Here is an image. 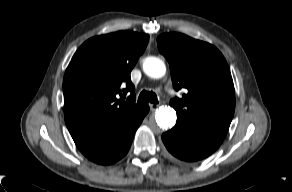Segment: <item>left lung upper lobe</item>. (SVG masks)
<instances>
[{
    "instance_id": "5c2ea615",
    "label": "left lung upper lobe",
    "mask_w": 292,
    "mask_h": 192,
    "mask_svg": "<svg viewBox=\"0 0 292 192\" xmlns=\"http://www.w3.org/2000/svg\"><path fill=\"white\" fill-rule=\"evenodd\" d=\"M158 48L170 64L176 91L186 89L170 105L177 124L226 135L235 110V91L228 64L213 45L180 33L157 38Z\"/></svg>"
}]
</instances>
